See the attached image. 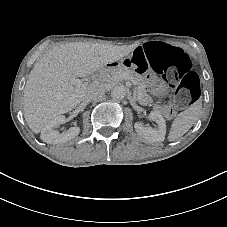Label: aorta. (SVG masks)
<instances>
[{"instance_id":"aorta-1","label":"aorta","mask_w":227,"mask_h":227,"mask_svg":"<svg viewBox=\"0 0 227 227\" xmlns=\"http://www.w3.org/2000/svg\"><path fill=\"white\" fill-rule=\"evenodd\" d=\"M127 93L126 87L123 85H116L112 90H111V97L113 100H122L125 98Z\"/></svg>"}]
</instances>
